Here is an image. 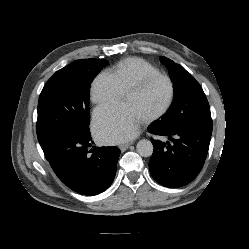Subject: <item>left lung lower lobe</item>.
<instances>
[{
  "mask_svg": "<svg viewBox=\"0 0 249 249\" xmlns=\"http://www.w3.org/2000/svg\"><path fill=\"white\" fill-rule=\"evenodd\" d=\"M148 131L167 136L169 142L151 139L154 151L149 169L153 178L165 187L177 188L190 183L201 171L206 159L212 125L167 131L154 122Z\"/></svg>",
  "mask_w": 249,
  "mask_h": 249,
  "instance_id": "obj_1",
  "label": "left lung lower lobe"
}]
</instances>
